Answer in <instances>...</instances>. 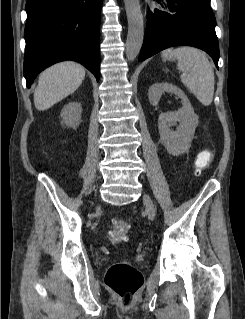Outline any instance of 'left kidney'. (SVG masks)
<instances>
[{
  "mask_svg": "<svg viewBox=\"0 0 245 319\" xmlns=\"http://www.w3.org/2000/svg\"><path fill=\"white\" fill-rule=\"evenodd\" d=\"M165 92L178 96L183 105L178 111L161 113L158 118L161 143L170 154L178 156L189 150L198 125V116L194 113V109L185 93L172 83L161 82L151 85L148 90L150 104L156 106L161 95ZM176 122H179V126L176 131H173L170 126Z\"/></svg>",
  "mask_w": 245,
  "mask_h": 319,
  "instance_id": "5707ae66",
  "label": "left kidney"
}]
</instances>
